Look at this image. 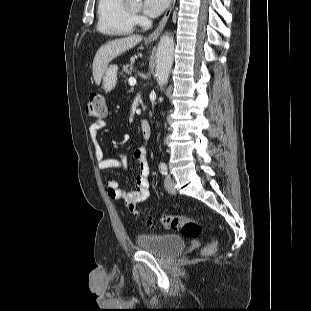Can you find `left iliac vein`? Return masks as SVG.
Returning <instances> with one entry per match:
<instances>
[{
    "instance_id": "4c4485c4",
    "label": "left iliac vein",
    "mask_w": 311,
    "mask_h": 311,
    "mask_svg": "<svg viewBox=\"0 0 311 311\" xmlns=\"http://www.w3.org/2000/svg\"><path fill=\"white\" fill-rule=\"evenodd\" d=\"M164 186L168 193L172 195L176 193L174 181L170 175H166L165 180H164Z\"/></svg>"
}]
</instances>
